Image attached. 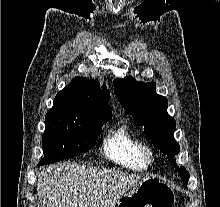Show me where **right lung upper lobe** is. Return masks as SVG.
Wrapping results in <instances>:
<instances>
[{"mask_svg": "<svg viewBox=\"0 0 220 207\" xmlns=\"http://www.w3.org/2000/svg\"><path fill=\"white\" fill-rule=\"evenodd\" d=\"M55 99L72 101L82 110L97 115L103 120H110L112 112L107 105L110 92L106 85L92 79L75 77L69 85L61 90Z\"/></svg>", "mask_w": 220, "mask_h": 207, "instance_id": "right-lung-upper-lobe-1", "label": "right lung upper lobe"}]
</instances>
